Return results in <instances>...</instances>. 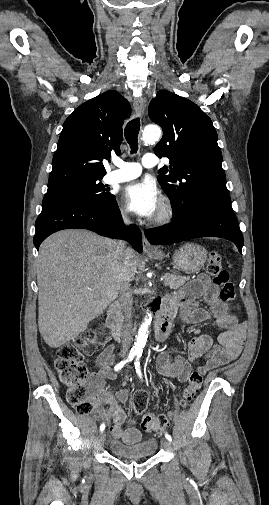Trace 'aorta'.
Wrapping results in <instances>:
<instances>
[{
    "mask_svg": "<svg viewBox=\"0 0 269 505\" xmlns=\"http://www.w3.org/2000/svg\"><path fill=\"white\" fill-rule=\"evenodd\" d=\"M162 131L158 126L150 125L146 126L142 133V141L145 144H151L155 141H158L161 137ZM152 317L149 310H147V315L144 318L143 323L141 324L138 334L136 336V341L134 343L133 349L137 352H142L143 348L146 345L148 338V328L151 323Z\"/></svg>",
    "mask_w": 269,
    "mask_h": 505,
    "instance_id": "aorta-1",
    "label": "aorta"
}]
</instances>
